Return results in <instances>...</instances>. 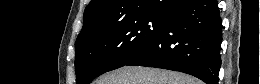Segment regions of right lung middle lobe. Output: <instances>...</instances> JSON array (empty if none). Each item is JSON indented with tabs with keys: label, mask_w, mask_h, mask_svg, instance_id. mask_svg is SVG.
Returning a JSON list of instances; mask_svg holds the SVG:
<instances>
[{
	"label": "right lung middle lobe",
	"mask_w": 260,
	"mask_h": 84,
	"mask_svg": "<svg viewBox=\"0 0 260 84\" xmlns=\"http://www.w3.org/2000/svg\"><path fill=\"white\" fill-rule=\"evenodd\" d=\"M166 14H142L108 23L95 36L75 44L76 84H89L95 77L125 66L143 53L160 35Z\"/></svg>",
	"instance_id": "obj_1"
}]
</instances>
